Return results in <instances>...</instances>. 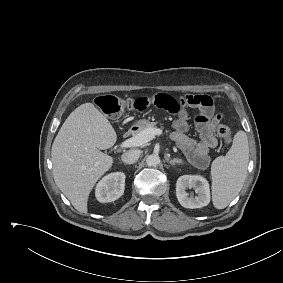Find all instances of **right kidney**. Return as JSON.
Returning <instances> with one entry per match:
<instances>
[{
  "label": "right kidney",
  "instance_id": "obj_1",
  "mask_svg": "<svg viewBox=\"0 0 283 283\" xmlns=\"http://www.w3.org/2000/svg\"><path fill=\"white\" fill-rule=\"evenodd\" d=\"M125 174L115 172L103 177L96 186L95 194L99 202L107 203L117 200L124 192Z\"/></svg>",
  "mask_w": 283,
  "mask_h": 283
}]
</instances>
